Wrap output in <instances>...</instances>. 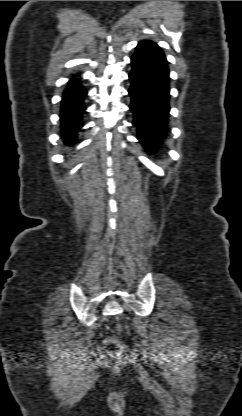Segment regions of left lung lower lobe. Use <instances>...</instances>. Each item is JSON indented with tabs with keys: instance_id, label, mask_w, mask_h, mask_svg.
Here are the masks:
<instances>
[{
	"instance_id": "left-lung-lower-lobe-1",
	"label": "left lung lower lobe",
	"mask_w": 242,
	"mask_h": 416,
	"mask_svg": "<svg viewBox=\"0 0 242 416\" xmlns=\"http://www.w3.org/2000/svg\"><path fill=\"white\" fill-rule=\"evenodd\" d=\"M130 109L137 139L148 154L157 151L166 137L169 119V69L162 50L152 41L143 40L131 58Z\"/></svg>"
}]
</instances>
